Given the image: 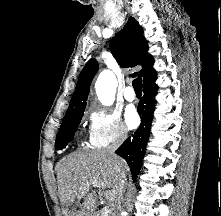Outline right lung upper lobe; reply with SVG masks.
Segmentation results:
<instances>
[{"label":"right lung upper lobe","instance_id":"cb5924a9","mask_svg":"<svg viewBox=\"0 0 221 216\" xmlns=\"http://www.w3.org/2000/svg\"><path fill=\"white\" fill-rule=\"evenodd\" d=\"M110 49L121 67L142 65V69L132 76H142L143 82L155 75L153 58L147 53L148 45L143 37V29L130 17L125 27L112 38ZM98 70V63L91 59L79 75L76 89L64 117L84 111L91 81Z\"/></svg>","mask_w":221,"mask_h":216}]
</instances>
